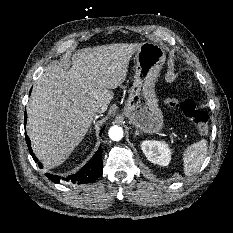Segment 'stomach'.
Masks as SVG:
<instances>
[{"instance_id": "stomach-1", "label": "stomach", "mask_w": 233, "mask_h": 233, "mask_svg": "<svg viewBox=\"0 0 233 233\" xmlns=\"http://www.w3.org/2000/svg\"><path fill=\"white\" fill-rule=\"evenodd\" d=\"M165 59L164 48L153 42L142 43L136 51L134 82L123 115L143 133L156 134L164 127L154 87Z\"/></svg>"}]
</instances>
